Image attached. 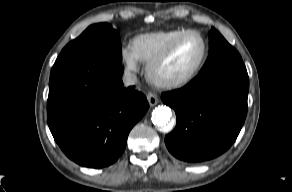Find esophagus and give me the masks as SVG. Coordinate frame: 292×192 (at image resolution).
<instances>
[{
  "label": "esophagus",
  "mask_w": 292,
  "mask_h": 192,
  "mask_svg": "<svg viewBox=\"0 0 292 192\" xmlns=\"http://www.w3.org/2000/svg\"><path fill=\"white\" fill-rule=\"evenodd\" d=\"M146 97L150 106H155L159 102L158 96L153 92H149Z\"/></svg>",
  "instance_id": "esophagus-1"
}]
</instances>
